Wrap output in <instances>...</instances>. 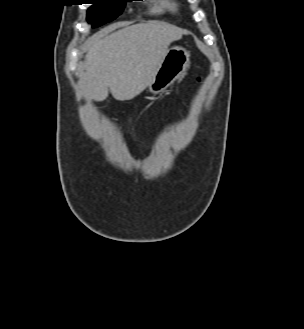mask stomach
<instances>
[{"mask_svg": "<svg viewBox=\"0 0 304 329\" xmlns=\"http://www.w3.org/2000/svg\"><path fill=\"white\" fill-rule=\"evenodd\" d=\"M190 62V53L183 47L173 46L167 50L148 91L154 95L162 93L179 79Z\"/></svg>", "mask_w": 304, "mask_h": 329, "instance_id": "0dacf381", "label": "stomach"}]
</instances>
